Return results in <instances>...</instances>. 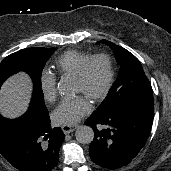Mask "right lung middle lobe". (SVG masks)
Here are the masks:
<instances>
[{"mask_svg":"<svg viewBox=\"0 0 171 171\" xmlns=\"http://www.w3.org/2000/svg\"><path fill=\"white\" fill-rule=\"evenodd\" d=\"M55 48H26L7 56L0 64V86L12 74L23 70L34 82V94L29 110L43 116L48 113L41 89V74L46 61ZM15 120H9L0 115V149L9 142L8 126Z\"/></svg>","mask_w":171,"mask_h":171,"instance_id":"obj_1","label":"right lung middle lobe"}]
</instances>
